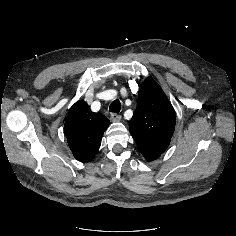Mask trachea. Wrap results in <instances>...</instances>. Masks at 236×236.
Returning a JSON list of instances; mask_svg holds the SVG:
<instances>
[{"instance_id":"3493384b","label":"trachea","mask_w":236,"mask_h":236,"mask_svg":"<svg viewBox=\"0 0 236 236\" xmlns=\"http://www.w3.org/2000/svg\"><path fill=\"white\" fill-rule=\"evenodd\" d=\"M120 110H121V103L119 100L116 99L111 103L109 111L113 113H119Z\"/></svg>"}]
</instances>
